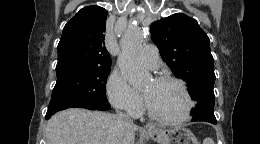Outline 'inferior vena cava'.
I'll return each instance as SVG.
<instances>
[{
    "label": "inferior vena cava",
    "mask_w": 260,
    "mask_h": 144,
    "mask_svg": "<svg viewBox=\"0 0 260 144\" xmlns=\"http://www.w3.org/2000/svg\"><path fill=\"white\" fill-rule=\"evenodd\" d=\"M117 116H119L125 123L133 124V121L129 117L124 115L122 112L117 111Z\"/></svg>",
    "instance_id": "obj_1"
}]
</instances>
